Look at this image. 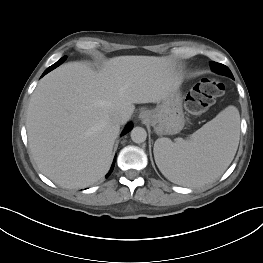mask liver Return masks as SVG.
Instances as JSON below:
<instances>
[{"mask_svg": "<svg viewBox=\"0 0 263 263\" xmlns=\"http://www.w3.org/2000/svg\"><path fill=\"white\" fill-rule=\"evenodd\" d=\"M182 75L170 60L118 56L96 72L69 62L47 74L27 110L29 148L40 171L64 188H84L101 180L112 162L120 125L134 104L160 103L179 89Z\"/></svg>", "mask_w": 263, "mask_h": 263, "instance_id": "1", "label": "liver"}]
</instances>
